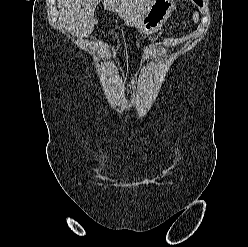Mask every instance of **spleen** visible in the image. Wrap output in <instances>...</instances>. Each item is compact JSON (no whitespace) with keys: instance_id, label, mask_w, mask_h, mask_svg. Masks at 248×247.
<instances>
[{"instance_id":"obj_1","label":"spleen","mask_w":248,"mask_h":247,"mask_svg":"<svg viewBox=\"0 0 248 247\" xmlns=\"http://www.w3.org/2000/svg\"><path fill=\"white\" fill-rule=\"evenodd\" d=\"M193 21L197 23L199 21V14L196 12L193 14Z\"/></svg>"}]
</instances>
